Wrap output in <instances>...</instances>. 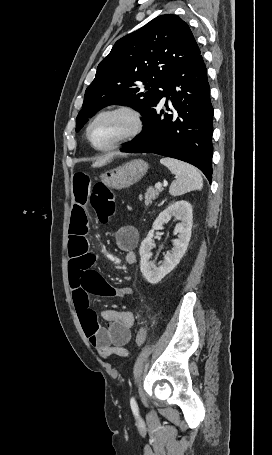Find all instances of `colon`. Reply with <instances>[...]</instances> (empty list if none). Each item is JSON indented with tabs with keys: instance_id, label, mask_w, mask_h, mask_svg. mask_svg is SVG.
Instances as JSON below:
<instances>
[{
	"instance_id": "colon-1",
	"label": "colon",
	"mask_w": 272,
	"mask_h": 455,
	"mask_svg": "<svg viewBox=\"0 0 272 455\" xmlns=\"http://www.w3.org/2000/svg\"><path fill=\"white\" fill-rule=\"evenodd\" d=\"M90 204L98 220L102 224L108 223L115 211V199L102 182H97L93 187ZM146 336V329L144 327L140 328L136 335L137 346H142L145 343ZM121 354L126 355L124 352H121Z\"/></svg>"
}]
</instances>
